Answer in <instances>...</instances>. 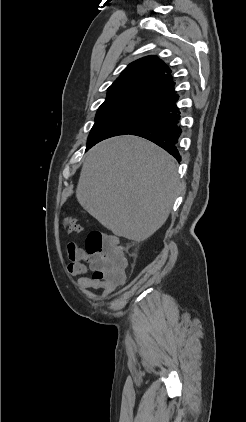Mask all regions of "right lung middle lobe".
Instances as JSON below:
<instances>
[{
  "mask_svg": "<svg viewBox=\"0 0 246 422\" xmlns=\"http://www.w3.org/2000/svg\"><path fill=\"white\" fill-rule=\"evenodd\" d=\"M161 114V109L155 108L101 106L89 134L86 150L104 139L130 134Z\"/></svg>",
  "mask_w": 246,
  "mask_h": 422,
  "instance_id": "right-lung-middle-lobe-1",
  "label": "right lung middle lobe"
}]
</instances>
